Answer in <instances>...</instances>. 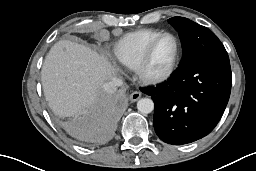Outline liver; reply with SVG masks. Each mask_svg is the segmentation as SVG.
Returning <instances> with one entry per match:
<instances>
[{
	"label": "liver",
	"mask_w": 256,
	"mask_h": 171,
	"mask_svg": "<svg viewBox=\"0 0 256 171\" xmlns=\"http://www.w3.org/2000/svg\"><path fill=\"white\" fill-rule=\"evenodd\" d=\"M116 69L90 48L68 40L50 49L42 66L44 95L59 117L94 107L103 96V85L113 80Z\"/></svg>",
	"instance_id": "liver-1"
}]
</instances>
